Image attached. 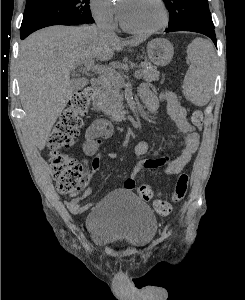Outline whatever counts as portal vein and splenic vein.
<instances>
[{
    "instance_id": "1",
    "label": "portal vein and splenic vein",
    "mask_w": 245,
    "mask_h": 300,
    "mask_svg": "<svg viewBox=\"0 0 245 300\" xmlns=\"http://www.w3.org/2000/svg\"><path fill=\"white\" fill-rule=\"evenodd\" d=\"M85 68H86L87 71H95V72H97L99 74H102V75L108 73L111 70V69H107V68L102 67V66L94 65L93 61L85 63ZM134 77L140 78V72L136 71L134 73Z\"/></svg>"
}]
</instances>
